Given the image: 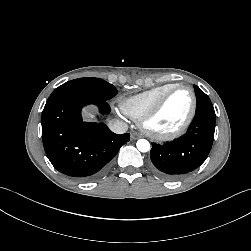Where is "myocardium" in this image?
I'll return each instance as SVG.
<instances>
[{"label": "myocardium", "mask_w": 251, "mask_h": 251, "mask_svg": "<svg viewBox=\"0 0 251 251\" xmlns=\"http://www.w3.org/2000/svg\"><path fill=\"white\" fill-rule=\"evenodd\" d=\"M181 89L188 90L191 94V97H192V105H191V109H190V112H189L187 118L185 119V121L182 123V125L180 127H178L177 129H175L173 131H170V132L154 131L150 127L151 121L161 111L162 107L164 106V104H165L166 100L169 98V96L173 92H175L177 90H181ZM196 110H197V96L195 94V91L189 86L177 84V85L171 87L169 90H167L155 102V104L141 117V119L139 120L140 128L143 130V132L148 137H150L154 140H158V141L173 140V139L180 137L181 135H183L186 132V130L189 128V126L191 125V123L195 117Z\"/></svg>", "instance_id": "f54148a6"}]
</instances>
